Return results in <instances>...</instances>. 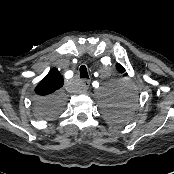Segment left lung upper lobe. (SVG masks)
Returning <instances> with one entry per match:
<instances>
[{
	"instance_id": "5c2ea615",
	"label": "left lung upper lobe",
	"mask_w": 174,
	"mask_h": 174,
	"mask_svg": "<svg viewBox=\"0 0 174 174\" xmlns=\"http://www.w3.org/2000/svg\"><path fill=\"white\" fill-rule=\"evenodd\" d=\"M119 72H125V69L120 65H116ZM130 104L119 107H110L107 111V117L116 123H125L128 121Z\"/></svg>"
}]
</instances>
